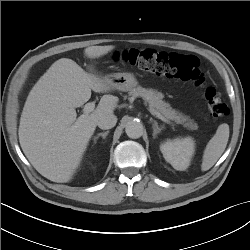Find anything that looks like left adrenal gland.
Instances as JSON below:
<instances>
[{
	"label": "left adrenal gland",
	"mask_w": 250,
	"mask_h": 250,
	"mask_svg": "<svg viewBox=\"0 0 250 250\" xmlns=\"http://www.w3.org/2000/svg\"><path fill=\"white\" fill-rule=\"evenodd\" d=\"M150 121L153 123V138L155 139L157 134H159L164 129V126L159 127L157 121L153 120L152 118Z\"/></svg>",
	"instance_id": "left-adrenal-gland-1"
}]
</instances>
